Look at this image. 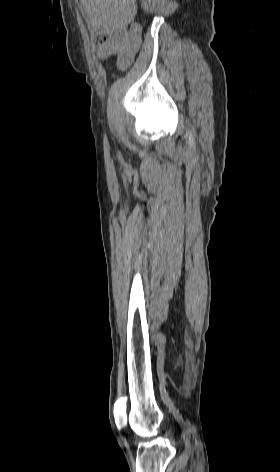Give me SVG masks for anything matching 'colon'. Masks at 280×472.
Listing matches in <instances>:
<instances>
[{
	"label": "colon",
	"mask_w": 280,
	"mask_h": 472,
	"mask_svg": "<svg viewBox=\"0 0 280 472\" xmlns=\"http://www.w3.org/2000/svg\"><path fill=\"white\" fill-rule=\"evenodd\" d=\"M119 32H123V29L119 30ZM110 39L111 35L106 32H99L94 37V41L97 45H104L108 43ZM117 63L120 68H126L130 65V58L127 56L120 57L117 60Z\"/></svg>",
	"instance_id": "5ec220e1"
}]
</instances>
